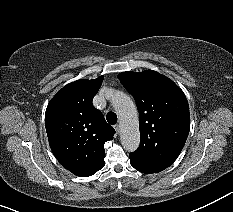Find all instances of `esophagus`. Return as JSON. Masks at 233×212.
<instances>
[{"instance_id":"1","label":"esophagus","mask_w":233,"mask_h":212,"mask_svg":"<svg viewBox=\"0 0 233 212\" xmlns=\"http://www.w3.org/2000/svg\"><path fill=\"white\" fill-rule=\"evenodd\" d=\"M114 129L116 130L117 133L120 132V126L118 124L114 125Z\"/></svg>"}]
</instances>
